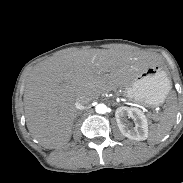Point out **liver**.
Returning <instances> with one entry per match:
<instances>
[{
  "label": "liver",
  "instance_id": "6515ba94",
  "mask_svg": "<svg viewBox=\"0 0 183 183\" xmlns=\"http://www.w3.org/2000/svg\"><path fill=\"white\" fill-rule=\"evenodd\" d=\"M150 66L147 57L114 49H81L51 57L29 72L23 96L32 137L49 149L67 144L79 97L89 100L123 88Z\"/></svg>",
  "mask_w": 183,
  "mask_h": 183
}]
</instances>
